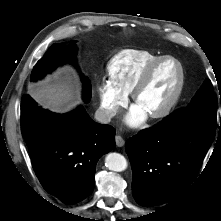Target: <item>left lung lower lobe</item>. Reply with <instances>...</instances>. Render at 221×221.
Here are the masks:
<instances>
[{"mask_svg": "<svg viewBox=\"0 0 221 221\" xmlns=\"http://www.w3.org/2000/svg\"><path fill=\"white\" fill-rule=\"evenodd\" d=\"M215 134L205 127L171 126L164 119L127 140L136 202L149 207L176 199L201 167Z\"/></svg>", "mask_w": 221, "mask_h": 221, "instance_id": "1", "label": "left lung lower lobe"}]
</instances>
